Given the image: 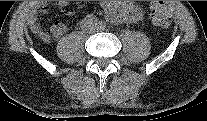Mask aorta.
<instances>
[{
	"mask_svg": "<svg viewBox=\"0 0 207 121\" xmlns=\"http://www.w3.org/2000/svg\"><path fill=\"white\" fill-rule=\"evenodd\" d=\"M127 10L128 9H126V7L124 6L123 7L115 6L114 8H112L111 14H113L114 21L119 23L127 21L129 17V12Z\"/></svg>",
	"mask_w": 207,
	"mask_h": 121,
	"instance_id": "762f6f07",
	"label": "aorta"
}]
</instances>
